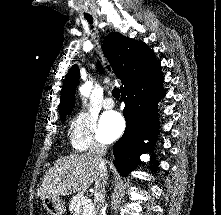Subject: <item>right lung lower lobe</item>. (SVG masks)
Masks as SVG:
<instances>
[{
  "label": "right lung lower lobe",
  "instance_id": "right-lung-lower-lobe-1",
  "mask_svg": "<svg viewBox=\"0 0 221 215\" xmlns=\"http://www.w3.org/2000/svg\"><path fill=\"white\" fill-rule=\"evenodd\" d=\"M163 75L160 69L153 75L121 93L125 103L126 130L116 142L113 154L114 164L122 176L133 171L140 164V155L149 150L157 139L158 122L155 106L164 95ZM148 139L147 144L144 140Z\"/></svg>",
  "mask_w": 221,
  "mask_h": 215
}]
</instances>
